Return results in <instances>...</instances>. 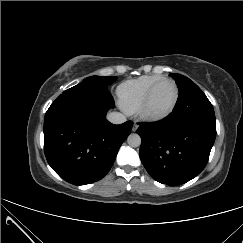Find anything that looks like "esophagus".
Listing matches in <instances>:
<instances>
[{
    "instance_id": "esophagus-1",
    "label": "esophagus",
    "mask_w": 243,
    "mask_h": 243,
    "mask_svg": "<svg viewBox=\"0 0 243 243\" xmlns=\"http://www.w3.org/2000/svg\"><path fill=\"white\" fill-rule=\"evenodd\" d=\"M137 129H138V124L136 122H134L132 131L135 132Z\"/></svg>"
}]
</instances>
